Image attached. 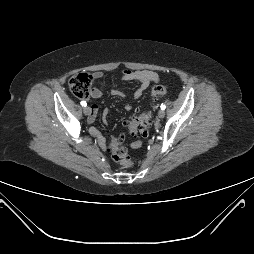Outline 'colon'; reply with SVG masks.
<instances>
[{"instance_id":"1","label":"colon","mask_w":254,"mask_h":254,"mask_svg":"<svg viewBox=\"0 0 254 254\" xmlns=\"http://www.w3.org/2000/svg\"><path fill=\"white\" fill-rule=\"evenodd\" d=\"M69 88L74 96L81 99L89 97L92 76L88 74H76L69 79ZM167 89L164 86H155L151 90L154 98H162L166 96ZM151 126V113L147 111L139 112L133 116L127 123L128 135L133 138H145L148 135ZM111 155L114 161L123 167H131L133 165L124 143V137L113 140L111 144Z\"/></svg>"}]
</instances>
